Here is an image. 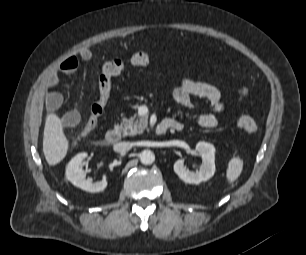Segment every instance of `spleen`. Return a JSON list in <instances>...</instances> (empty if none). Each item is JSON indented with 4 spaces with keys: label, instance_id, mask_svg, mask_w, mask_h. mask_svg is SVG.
<instances>
[{
    "label": "spleen",
    "instance_id": "spleen-1",
    "mask_svg": "<svg viewBox=\"0 0 306 255\" xmlns=\"http://www.w3.org/2000/svg\"><path fill=\"white\" fill-rule=\"evenodd\" d=\"M243 162L238 157H233L228 162L226 178L229 183H233L241 174Z\"/></svg>",
    "mask_w": 306,
    "mask_h": 255
}]
</instances>
